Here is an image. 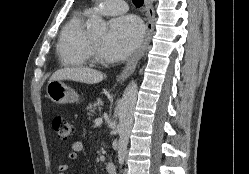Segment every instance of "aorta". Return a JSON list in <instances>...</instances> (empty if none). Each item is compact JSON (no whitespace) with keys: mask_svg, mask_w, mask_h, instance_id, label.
Masks as SVG:
<instances>
[{"mask_svg":"<svg viewBox=\"0 0 249 174\" xmlns=\"http://www.w3.org/2000/svg\"><path fill=\"white\" fill-rule=\"evenodd\" d=\"M106 23L100 17H93L89 22V31L94 34L102 33L106 30ZM138 85L131 81L126 87L119 107V144H118V161L122 166L127 155V145L131 133L134 109L137 101Z\"/></svg>","mask_w":249,"mask_h":174,"instance_id":"obj_1","label":"aorta"}]
</instances>
